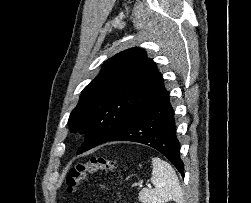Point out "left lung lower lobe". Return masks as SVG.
Here are the masks:
<instances>
[{
    "instance_id": "left-lung-lower-lobe-1",
    "label": "left lung lower lobe",
    "mask_w": 251,
    "mask_h": 203,
    "mask_svg": "<svg viewBox=\"0 0 251 203\" xmlns=\"http://www.w3.org/2000/svg\"><path fill=\"white\" fill-rule=\"evenodd\" d=\"M108 141H132L161 152L184 176L174 110L163 86L159 95Z\"/></svg>"
}]
</instances>
